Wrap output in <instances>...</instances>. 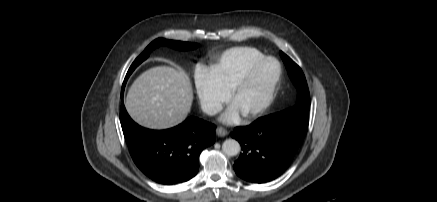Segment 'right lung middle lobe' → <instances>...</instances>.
Masks as SVG:
<instances>
[{"label": "right lung middle lobe", "instance_id": "obj_1", "mask_svg": "<svg viewBox=\"0 0 437 202\" xmlns=\"http://www.w3.org/2000/svg\"><path fill=\"white\" fill-rule=\"evenodd\" d=\"M162 44H167L168 46L175 48V49H179V50H190V49H195L198 47V44L195 43H187V42H181V41H171V40H165V39H161L158 38L156 40H154L152 43H150L146 49L143 51V53L137 57V59L132 63V65L130 66L123 86H122V95L124 92V87L125 84L129 78V76L131 75V73L135 70V68L141 63L143 62L145 59L148 58V56L150 55L151 51L154 50L157 46L162 45Z\"/></svg>", "mask_w": 437, "mask_h": 202}]
</instances>
